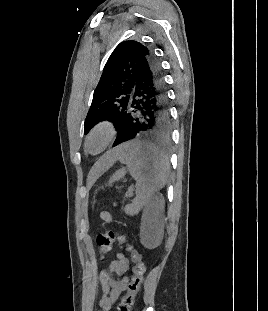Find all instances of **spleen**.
Returning <instances> with one entry per match:
<instances>
[{"label":"spleen","instance_id":"obj_1","mask_svg":"<svg viewBox=\"0 0 268 311\" xmlns=\"http://www.w3.org/2000/svg\"><path fill=\"white\" fill-rule=\"evenodd\" d=\"M116 153L136 180V197L124 208L127 214L134 215L147 207L154 194L166 185L169 161L148 140H122L116 144Z\"/></svg>","mask_w":268,"mask_h":311}]
</instances>
